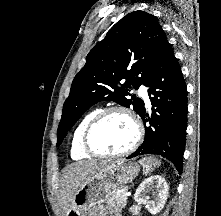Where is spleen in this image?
Here are the masks:
<instances>
[{
  "mask_svg": "<svg viewBox=\"0 0 221 216\" xmlns=\"http://www.w3.org/2000/svg\"><path fill=\"white\" fill-rule=\"evenodd\" d=\"M139 163L142 165L143 173L145 175L149 174L155 167L160 165V162L153 157H144L139 161Z\"/></svg>",
  "mask_w": 221,
  "mask_h": 216,
  "instance_id": "3e777b00",
  "label": "spleen"
}]
</instances>
